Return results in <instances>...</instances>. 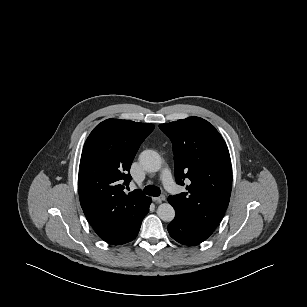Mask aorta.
Segmentation results:
<instances>
[{"label":"aorta","instance_id":"762f6f07","mask_svg":"<svg viewBox=\"0 0 307 307\" xmlns=\"http://www.w3.org/2000/svg\"><path fill=\"white\" fill-rule=\"evenodd\" d=\"M139 163L147 172H157L162 166L160 155L154 150H144L139 155ZM158 217L165 222H171L175 217V210L169 203L158 206Z\"/></svg>","mask_w":307,"mask_h":307}]
</instances>
